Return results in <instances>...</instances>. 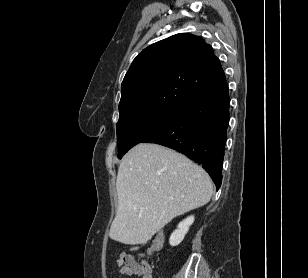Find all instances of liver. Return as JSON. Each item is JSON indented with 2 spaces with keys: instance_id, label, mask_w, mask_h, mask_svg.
Listing matches in <instances>:
<instances>
[{
  "instance_id": "obj_1",
  "label": "liver",
  "mask_w": 308,
  "mask_h": 278,
  "mask_svg": "<svg viewBox=\"0 0 308 278\" xmlns=\"http://www.w3.org/2000/svg\"><path fill=\"white\" fill-rule=\"evenodd\" d=\"M118 209L112 240L144 244L173 218L207 204L208 173L186 156L161 145L140 143L122 158L116 179Z\"/></svg>"
}]
</instances>
